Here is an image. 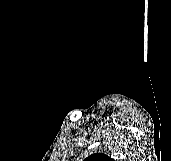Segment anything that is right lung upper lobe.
<instances>
[{"instance_id":"cb5924a9","label":"right lung upper lobe","mask_w":171,"mask_h":161,"mask_svg":"<svg viewBox=\"0 0 171 161\" xmlns=\"http://www.w3.org/2000/svg\"><path fill=\"white\" fill-rule=\"evenodd\" d=\"M84 161H114V160L103 153H95L88 156L86 159H84Z\"/></svg>"}]
</instances>
